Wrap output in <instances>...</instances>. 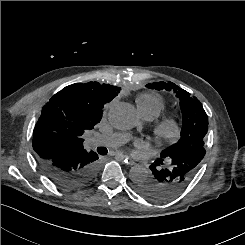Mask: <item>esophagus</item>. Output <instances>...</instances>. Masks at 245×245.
Masks as SVG:
<instances>
[{
    "mask_svg": "<svg viewBox=\"0 0 245 245\" xmlns=\"http://www.w3.org/2000/svg\"><path fill=\"white\" fill-rule=\"evenodd\" d=\"M116 158L123 161L126 165L130 166L134 164V161L131 160L128 156L124 154H117Z\"/></svg>",
    "mask_w": 245,
    "mask_h": 245,
    "instance_id": "esophagus-1",
    "label": "esophagus"
}]
</instances>
